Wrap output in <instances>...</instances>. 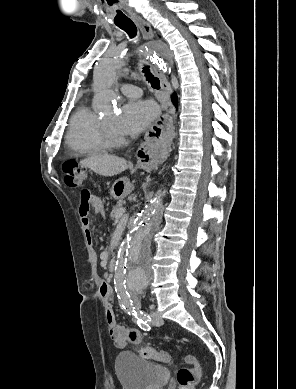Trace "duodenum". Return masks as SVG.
<instances>
[{
    "label": "duodenum",
    "instance_id": "obj_1",
    "mask_svg": "<svg viewBox=\"0 0 296 389\" xmlns=\"http://www.w3.org/2000/svg\"><path fill=\"white\" fill-rule=\"evenodd\" d=\"M115 269V258L114 257H111V259L109 260V270L111 272H113Z\"/></svg>",
    "mask_w": 296,
    "mask_h": 389
}]
</instances>
